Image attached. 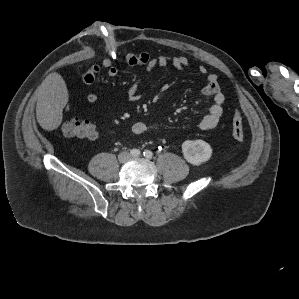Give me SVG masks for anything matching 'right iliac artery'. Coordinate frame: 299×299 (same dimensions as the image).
Segmentation results:
<instances>
[{"mask_svg": "<svg viewBox=\"0 0 299 299\" xmlns=\"http://www.w3.org/2000/svg\"><path fill=\"white\" fill-rule=\"evenodd\" d=\"M130 154H131L132 156H134V157H137V156L140 155V150H138V149H132V150L130 151Z\"/></svg>", "mask_w": 299, "mask_h": 299, "instance_id": "obj_1", "label": "right iliac artery"}]
</instances>
